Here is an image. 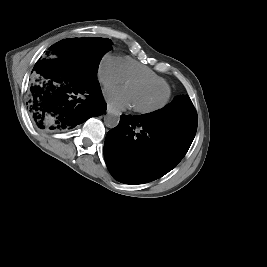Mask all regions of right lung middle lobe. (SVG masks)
Instances as JSON below:
<instances>
[{
  "mask_svg": "<svg viewBox=\"0 0 267 267\" xmlns=\"http://www.w3.org/2000/svg\"><path fill=\"white\" fill-rule=\"evenodd\" d=\"M112 42L107 38H70L50 47L51 56L64 58L73 70L89 80H97L102 57L110 51Z\"/></svg>",
  "mask_w": 267,
  "mask_h": 267,
  "instance_id": "1",
  "label": "right lung middle lobe"
}]
</instances>
